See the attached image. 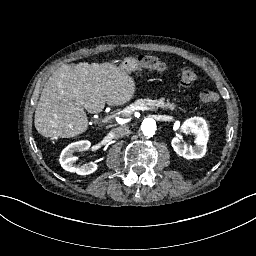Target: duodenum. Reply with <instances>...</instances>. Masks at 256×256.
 Listing matches in <instances>:
<instances>
[{"mask_svg":"<svg viewBox=\"0 0 256 256\" xmlns=\"http://www.w3.org/2000/svg\"><path fill=\"white\" fill-rule=\"evenodd\" d=\"M136 62L133 58L128 57L124 60L122 67L125 71L130 72L134 69Z\"/></svg>","mask_w":256,"mask_h":256,"instance_id":"1","label":"duodenum"}]
</instances>
